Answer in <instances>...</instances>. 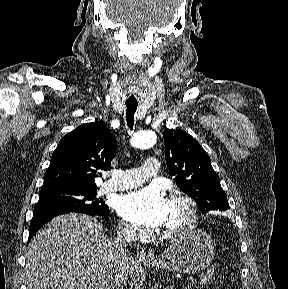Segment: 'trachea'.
<instances>
[{"label": "trachea", "mask_w": 288, "mask_h": 289, "mask_svg": "<svg viewBox=\"0 0 288 289\" xmlns=\"http://www.w3.org/2000/svg\"><path fill=\"white\" fill-rule=\"evenodd\" d=\"M137 92L134 88H129L128 90V100L126 101V119H127V125L130 128V130L133 128L134 124V114L138 107V102L136 100Z\"/></svg>", "instance_id": "3493384b"}]
</instances>
